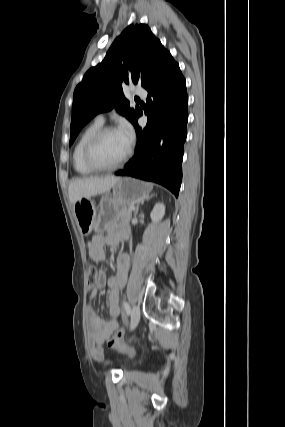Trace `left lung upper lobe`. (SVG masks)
I'll return each instance as SVG.
<instances>
[{
  "label": "left lung upper lobe",
  "instance_id": "1",
  "mask_svg": "<svg viewBox=\"0 0 285 427\" xmlns=\"http://www.w3.org/2000/svg\"><path fill=\"white\" fill-rule=\"evenodd\" d=\"M168 53L147 25L128 26L74 91L69 145L96 114L114 107L134 123L141 110L129 108L122 87L132 82L145 88Z\"/></svg>",
  "mask_w": 285,
  "mask_h": 427
}]
</instances>
